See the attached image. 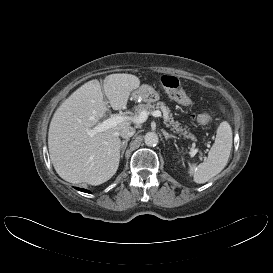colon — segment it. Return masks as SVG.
<instances>
[{"label":"colon","mask_w":273,"mask_h":273,"mask_svg":"<svg viewBox=\"0 0 273 273\" xmlns=\"http://www.w3.org/2000/svg\"><path fill=\"white\" fill-rule=\"evenodd\" d=\"M162 84L170 91L172 97L179 103L188 105L191 103L189 95L181 88L179 80L172 75H165L161 79ZM197 121L208 124L212 121L210 115L202 113L197 115Z\"/></svg>","instance_id":"5ec220e1"}]
</instances>
